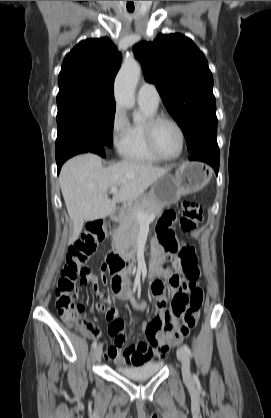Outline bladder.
I'll return each mask as SVG.
<instances>
[{
    "label": "bladder",
    "mask_w": 271,
    "mask_h": 418,
    "mask_svg": "<svg viewBox=\"0 0 271 418\" xmlns=\"http://www.w3.org/2000/svg\"><path fill=\"white\" fill-rule=\"evenodd\" d=\"M162 367L163 363L161 361L147 362L138 366L119 365L116 367V371L131 380L143 381L157 374Z\"/></svg>",
    "instance_id": "31cf9c89"
}]
</instances>
